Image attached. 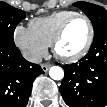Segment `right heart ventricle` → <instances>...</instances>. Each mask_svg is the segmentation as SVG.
Masks as SVG:
<instances>
[{
	"label": "right heart ventricle",
	"instance_id": "1",
	"mask_svg": "<svg viewBox=\"0 0 107 107\" xmlns=\"http://www.w3.org/2000/svg\"><path fill=\"white\" fill-rule=\"evenodd\" d=\"M76 13L75 11L64 10L54 12L45 17L35 18L30 21L29 28L49 46L52 44L53 38L63 22Z\"/></svg>",
	"mask_w": 107,
	"mask_h": 107
}]
</instances>
